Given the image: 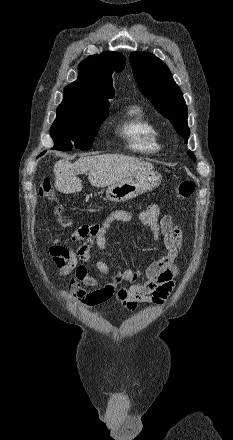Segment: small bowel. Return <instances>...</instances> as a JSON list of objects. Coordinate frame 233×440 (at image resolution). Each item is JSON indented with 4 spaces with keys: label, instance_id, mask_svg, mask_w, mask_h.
I'll use <instances>...</instances> for the list:
<instances>
[{
    "label": "small bowel",
    "instance_id": "obj_1",
    "mask_svg": "<svg viewBox=\"0 0 233 440\" xmlns=\"http://www.w3.org/2000/svg\"><path fill=\"white\" fill-rule=\"evenodd\" d=\"M133 219L132 212L116 210L101 224H85L78 227L70 237L71 242L84 241L77 249L59 238L54 239L49 251L61 276L73 273L67 291L74 304L91 308L110 303L134 311L142 303L162 304L172 292L175 279L180 274L175 260L182 249V233L172 217L160 214L156 204H151L141 211L138 219L152 233L153 243L163 238L166 255L143 270H119L106 284L93 277L86 265L79 263V260L92 263L99 273L110 275L109 265L105 261L95 260L92 250L106 249V235L114 222H130ZM84 286L94 289L89 291Z\"/></svg>",
    "mask_w": 233,
    "mask_h": 440
}]
</instances>
